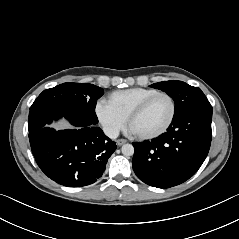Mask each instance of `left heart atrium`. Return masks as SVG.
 <instances>
[{
	"label": "left heart atrium",
	"instance_id": "1",
	"mask_svg": "<svg viewBox=\"0 0 239 239\" xmlns=\"http://www.w3.org/2000/svg\"><path fill=\"white\" fill-rule=\"evenodd\" d=\"M129 132L132 133V134H135L130 128H129Z\"/></svg>",
	"mask_w": 239,
	"mask_h": 239
}]
</instances>
